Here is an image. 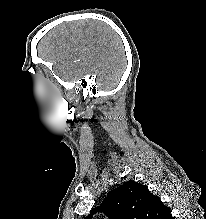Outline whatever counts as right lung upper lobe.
<instances>
[{"mask_svg": "<svg viewBox=\"0 0 206 219\" xmlns=\"http://www.w3.org/2000/svg\"><path fill=\"white\" fill-rule=\"evenodd\" d=\"M97 212L109 219H173L158 196L132 180L110 191L100 207L92 209L85 219H92Z\"/></svg>", "mask_w": 206, "mask_h": 219, "instance_id": "1", "label": "right lung upper lobe"}]
</instances>
